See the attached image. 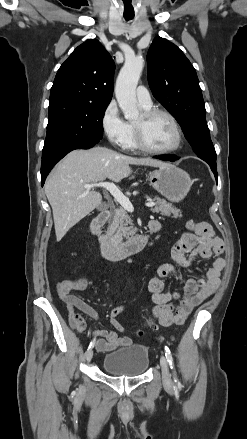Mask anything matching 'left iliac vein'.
<instances>
[{
	"mask_svg": "<svg viewBox=\"0 0 247 439\" xmlns=\"http://www.w3.org/2000/svg\"><path fill=\"white\" fill-rule=\"evenodd\" d=\"M160 366H161L164 386L166 388H171L173 383H172L171 374L169 371L168 361L164 356H161V358H160Z\"/></svg>",
	"mask_w": 247,
	"mask_h": 439,
	"instance_id": "obj_1",
	"label": "left iliac vein"
}]
</instances>
